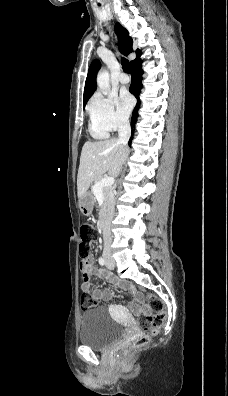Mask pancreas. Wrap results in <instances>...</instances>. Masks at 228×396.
<instances>
[{
	"label": "pancreas",
	"instance_id": "cf45deb5",
	"mask_svg": "<svg viewBox=\"0 0 228 396\" xmlns=\"http://www.w3.org/2000/svg\"><path fill=\"white\" fill-rule=\"evenodd\" d=\"M100 180H101V179L95 180L94 183H93V185L91 186V190H92L93 194H96V192H95L94 190H95L96 184H97ZM101 192H102V195H103V198H104V202H103V204H102L101 211H100V214H99L100 217H101V215L103 214L104 210L106 209L107 201H108V198H109V196H110V194H111V192H112V188H111L110 186H108V187H103V188L101 189Z\"/></svg>",
	"mask_w": 228,
	"mask_h": 396
}]
</instances>
